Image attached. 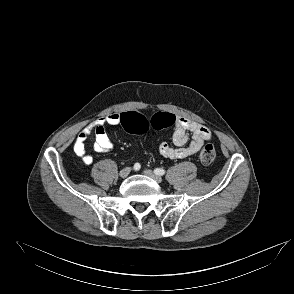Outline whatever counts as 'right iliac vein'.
I'll use <instances>...</instances> for the list:
<instances>
[{"label":"right iliac vein","instance_id":"right-iliac-vein-1","mask_svg":"<svg viewBox=\"0 0 294 294\" xmlns=\"http://www.w3.org/2000/svg\"><path fill=\"white\" fill-rule=\"evenodd\" d=\"M130 171L131 169L129 167H126L120 171L119 175L121 178H126L129 175Z\"/></svg>","mask_w":294,"mask_h":294}]
</instances>
